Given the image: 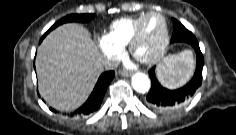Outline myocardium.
Instances as JSON below:
<instances>
[{"mask_svg": "<svg viewBox=\"0 0 236 135\" xmlns=\"http://www.w3.org/2000/svg\"><path fill=\"white\" fill-rule=\"evenodd\" d=\"M152 16H156L158 17L162 23H163V37H162V40H161V43L160 45L158 46V48L156 49V51L148 56V57H139L135 50H136V47L141 39V35H142V30H143V26L145 24V22L147 21L148 18L152 17ZM168 42H169V28H168V23L165 19V17L158 13V12H149V13H146L142 18L141 20L138 22L131 38H130V41L128 43V52L139 62L141 63H144V64H153L155 62H157L164 54L166 48H167V45H168Z\"/></svg>", "mask_w": 236, "mask_h": 135, "instance_id": "obj_1", "label": "myocardium"}]
</instances>
